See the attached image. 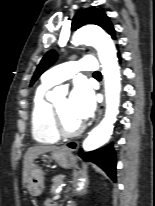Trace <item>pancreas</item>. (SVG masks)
Returning <instances> with one entry per match:
<instances>
[{
  "mask_svg": "<svg viewBox=\"0 0 155 206\" xmlns=\"http://www.w3.org/2000/svg\"><path fill=\"white\" fill-rule=\"evenodd\" d=\"M63 180H64V176L62 175L53 177L52 179L53 184L51 187V192H54L63 183Z\"/></svg>",
  "mask_w": 155,
  "mask_h": 206,
  "instance_id": "cf45deb5",
  "label": "pancreas"
}]
</instances>
